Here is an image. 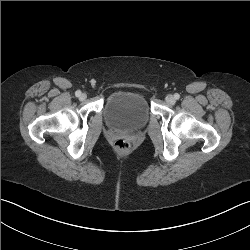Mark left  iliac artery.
Returning a JSON list of instances; mask_svg holds the SVG:
<instances>
[{"label": "left iliac artery", "instance_id": "left-iliac-artery-1", "mask_svg": "<svg viewBox=\"0 0 250 250\" xmlns=\"http://www.w3.org/2000/svg\"><path fill=\"white\" fill-rule=\"evenodd\" d=\"M174 98H175L176 100H178V99L180 98V95H179L178 93H175V94H174Z\"/></svg>", "mask_w": 250, "mask_h": 250}]
</instances>
